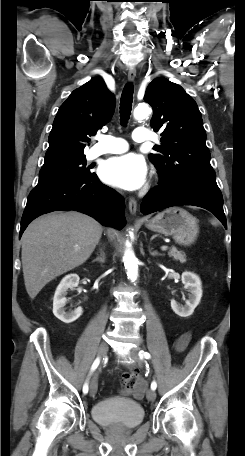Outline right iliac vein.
I'll list each match as a JSON object with an SVG mask.
<instances>
[{"mask_svg": "<svg viewBox=\"0 0 245 456\" xmlns=\"http://www.w3.org/2000/svg\"><path fill=\"white\" fill-rule=\"evenodd\" d=\"M107 352H108V345L105 342H102L98 349L99 358H101V359L104 358L106 356ZM97 388H98L97 379H96V377H94L91 382V385H90V395L92 397L95 396V394L97 392Z\"/></svg>", "mask_w": 245, "mask_h": 456, "instance_id": "obj_1", "label": "right iliac vein"}]
</instances>
